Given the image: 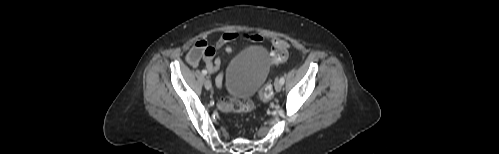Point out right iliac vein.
I'll list each match as a JSON object with an SVG mask.
<instances>
[{
    "mask_svg": "<svg viewBox=\"0 0 499 154\" xmlns=\"http://www.w3.org/2000/svg\"><path fill=\"white\" fill-rule=\"evenodd\" d=\"M204 86L207 90H210L212 85H211V81L209 79H206L205 82H204Z\"/></svg>",
    "mask_w": 499,
    "mask_h": 154,
    "instance_id": "right-iliac-vein-1",
    "label": "right iliac vein"
}]
</instances>
